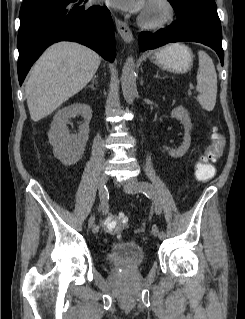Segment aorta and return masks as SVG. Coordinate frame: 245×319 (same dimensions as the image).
Masks as SVG:
<instances>
[{"label":"aorta","instance_id":"obj_1","mask_svg":"<svg viewBox=\"0 0 245 319\" xmlns=\"http://www.w3.org/2000/svg\"><path fill=\"white\" fill-rule=\"evenodd\" d=\"M121 86L124 99L132 104L137 96L135 61L132 56L124 63L121 76Z\"/></svg>","mask_w":245,"mask_h":319}]
</instances>
